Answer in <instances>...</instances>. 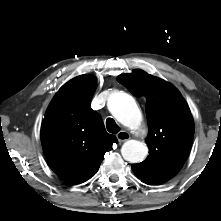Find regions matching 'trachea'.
<instances>
[{
    "instance_id": "3493384b",
    "label": "trachea",
    "mask_w": 221,
    "mask_h": 221,
    "mask_svg": "<svg viewBox=\"0 0 221 221\" xmlns=\"http://www.w3.org/2000/svg\"><path fill=\"white\" fill-rule=\"evenodd\" d=\"M106 127L108 132L112 134H116L120 131V127L116 124V122L112 118H108L106 120Z\"/></svg>"
}]
</instances>
